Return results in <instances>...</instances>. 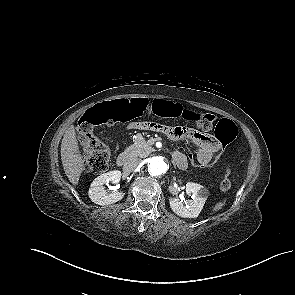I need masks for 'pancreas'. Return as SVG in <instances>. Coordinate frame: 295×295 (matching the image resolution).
Here are the masks:
<instances>
[{
  "instance_id": "pancreas-1",
  "label": "pancreas",
  "mask_w": 295,
  "mask_h": 295,
  "mask_svg": "<svg viewBox=\"0 0 295 295\" xmlns=\"http://www.w3.org/2000/svg\"><path fill=\"white\" fill-rule=\"evenodd\" d=\"M154 149L146 142L142 136H138L134 144L126 147L124 154L127 157H147Z\"/></svg>"
}]
</instances>
